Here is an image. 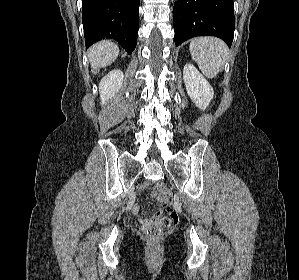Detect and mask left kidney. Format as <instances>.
<instances>
[{"mask_svg":"<svg viewBox=\"0 0 299 280\" xmlns=\"http://www.w3.org/2000/svg\"><path fill=\"white\" fill-rule=\"evenodd\" d=\"M183 77L188 95L197 107L205 110L213 99V88L191 64L184 66Z\"/></svg>","mask_w":299,"mask_h":280,"instance_id":"left-kidney-1","label":"left kidney"}]
</instances>
